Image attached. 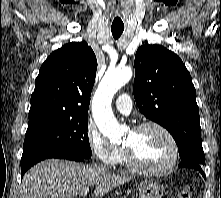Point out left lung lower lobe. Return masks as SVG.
<instances>
[{"label":"left lung lower lobe","instance_id":"0a47b994","mask_svg":"<svg viewBox=\"0 0 221 198\" xmlns=\"http://www.w3.org/2000/svg\"><path fill=\"white\" fill-rule=\"evenodd\" d=\"M179 167H188V168L196 169L204 176V178H206L205 173L203 172V169H202L201 165H198V164H195V163H190V162H187V161H182L179 164Z\"/></svg>","mask_w":221,"mask_h":198}]
</instances>
